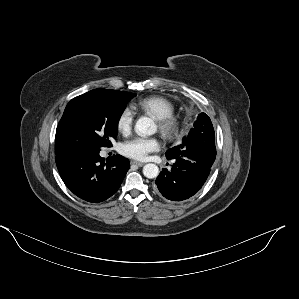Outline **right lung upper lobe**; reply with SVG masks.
Returning <instances> with one entry per match:
<instances>
[{"mask_svg":"<svg viewBox=\"0 0 299 299\" xmlns=\"http://www.w3.org/2000/svg\"><path fill=\"white\" fill-rule=\"evenodd\" d=\"M107 91H112V90H110V89H94L87 93H99V92H107ZM57 155H60V154H57Z\"/></svg>","mask_w":299,"mask_h":299,"instance_id":"obj_1","label":"right lung upper lobe"}]
</instances>
